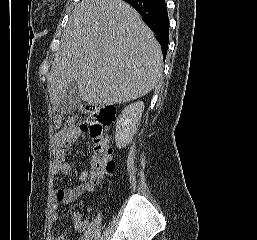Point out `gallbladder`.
I'll list each match as a JSON object with an SVG mask.
<instances>
[{"mask_svg":"<svg viewBox=\"0 0 257 240\" xmlns=\"http://www.w3.org/2000/svg\"><path fill=\"white\" fill-rule=\"evenodd\" d=\"M80 102L79 88L77 83L73 81L68 85L65 97L54 105V110L61 114H71L79 107Z\"/></svg>","mask_w":257,"mask_h":240,"instance_id":"bac80fb5","label":"gallbladder"}]
</instances>
